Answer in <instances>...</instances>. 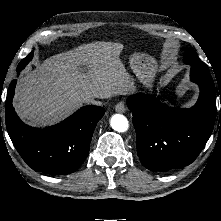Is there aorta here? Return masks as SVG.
<instances>
[{"instance_id": "aorta-1", "label": "aorta", "mask_w": 221, "mask_h": 221, "mask_svg": "<svg viewBox=\"0 0 221 221\" xmlns=\"http://www.w3.org/2000/svg\"><path fill=\"white\" fill-rule=\"evenodd\" d=\"M110 125L117 132H125L128 130L129 122L124 115L114 114L111 117Z\"/></svg>"}]
</instances>
